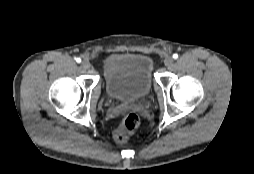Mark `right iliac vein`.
Segmentation results:
<instances>
[{
    "label": "right iliac vein",
    "instance_id": "obj_1",
    "mask_svg": "<svg viewBox=\"0 0 254 174\" xmlns=\"http://www.w3.org/2000/svg\"><path fill=\"white\" fill-rule=\"evenodd\" d=\"M81 66L84 68V69H89L90 68V62L88 60H83L81 62Z\"/></svg>",
    "mask_w": 254,
    "mask_h": 174
}]
</instances>
